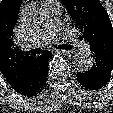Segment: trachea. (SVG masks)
<instances>
[{"mask_svg":"<svg viewBox=\"0 0 113 113\" xmlns=\"http://www.w3.org/2000/svg\"><path fill=\"white\" fill-rule=\"evenodd\" d=\"M58 49H66V50H69L72 48L71 45H67V44H62V45H58L57 47ZM41 50L39 48H35V49H32L29 51V53L31 55H36V54H40Z\"/></svg>","mask_w":113,"mask_h":113,"instance_id":"1","label":"trachea"}]
</instances>
